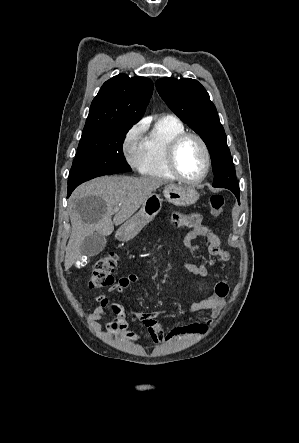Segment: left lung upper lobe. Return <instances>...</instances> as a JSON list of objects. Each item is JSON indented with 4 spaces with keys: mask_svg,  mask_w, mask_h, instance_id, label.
Listing matches in <instances>:
<instances>
[{
    "mask_svg": "<svg viewBox=\"0 0 299 443\" xmlns=\"http://www.w3.org/2000/svg\"><path fill=\"white\" fill-rule=\"evenodd\" d=\"M169 108L205 142L211 155L214 187L239 189L225 131L209 94L196 80L167 77L156 81Z\"/></svg>",
    "mask_w": 299,
    "mask_h": 443,
    "instance_id": "5c2ea615",
    "label": "left lung upper lobe"
}]
</instances>
